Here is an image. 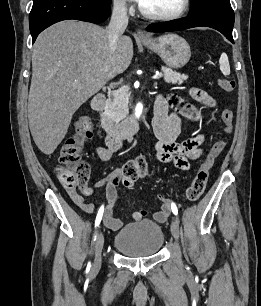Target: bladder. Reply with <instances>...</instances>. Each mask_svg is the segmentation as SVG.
Here are the masks:
<instances>
[{
  "label": "bladder",
  "mask_w": 261,
  "mask_h": 306,
  "mask_svg": "<svg viewBox=\"0 0 261 306\" xmlns=\"http://www.w3.org/2000/svg\"><path fill=\"white\" fill-rule=\"evenodd\" d=\"M164 243L161 226L142 220L122 227L114 236V248L127 257L144 258L157 254Z\"/></svg>",
  "instance_id": "bladder-1"
}]
</instances>
